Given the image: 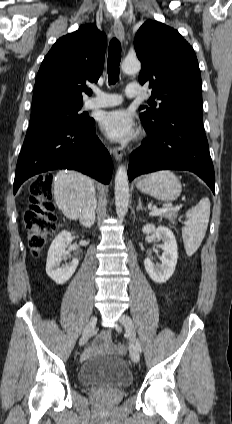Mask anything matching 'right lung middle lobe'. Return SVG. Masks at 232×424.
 Returning <instances> with one entry per match:
<instances>
[{
    "label": "right lung middle lobe",
    "mask_w": 232,
    "mask_h": 424,
    "mask_svg": "<svg viewBox=\"0 0 232 424\" xmlns=\"http://www.w3.org/2000/svg\"><path fill=\"white\" fill-rule=\"evenodd\" d=\"M82 105L46 104L32 108L30 126L60 125L69 127H85L94 120L86 118L79 111Z\"/></svg>",
    "instance_id": "dd1d6c3e"
}]
</instances>
